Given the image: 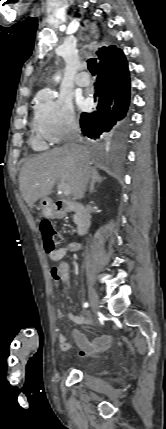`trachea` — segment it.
Returning a JSON list of instances; mask_svg holds the SVG:
<instances>
[{"label":"trachea","mask_w":166,"mask_h":429,"mask_svg":"<svg viewBox=\"0 0 166 429\" xmlns=\"http://www.w3.org/2000/svg\"><path fill=\"white\" fill-rule=\"evenodd\" d=\"M87 64H88L89 71L92 72V73H95L96 70H97V67H96V64H97L96 58L89 59L87 61Z\"/></svg>","instance_id":"3493384b"}]
</instances>
